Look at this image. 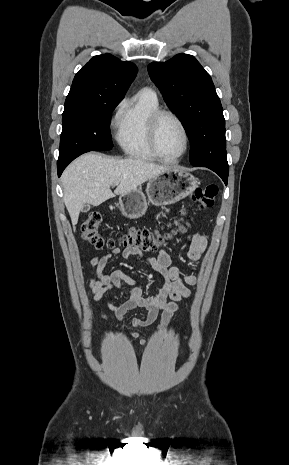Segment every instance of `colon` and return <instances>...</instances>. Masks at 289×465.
I'll use <instances>...</instances> for the list:
<instances>
[{
	"label": "colon",
	"mask_w": 289,
	"mask_h": 465,
	"mask_svg": "<svg viewBox=\"0 0 289 465\" xmlns=\"http://www.w3.org/2000/svg\"><path fill=\"white\" fill-rule=\"evenodd\" d=\"M217 193L218 187L216 185H206L193 192L191 201L198 203L201 210H205L214 205ZM188 219V212L183 208L179 216L167 226V230L164 228L155 230L148 228H130L118 242H116L112 239H106L100 233L102 217L99 213H92L82 225V236L83 239L95 249H114L118 243L126 248H135L143 253H151L158 250V248L177 231L184 230L188 225Z\"/></svg>",
	"instance_id": "colon-1"
}]
</instances>
